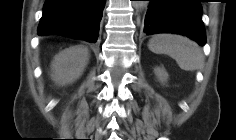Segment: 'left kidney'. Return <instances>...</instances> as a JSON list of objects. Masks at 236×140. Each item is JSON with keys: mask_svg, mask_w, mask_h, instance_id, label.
Instances as JSON below:
<instances>
[{"mask_svg": "<svg viewBox=\"0 0 236 140\" xmlns=\"http://www.w3.org/2000/svg\"><path fill=\"white\" fill-rule=\"evenodd\" d=\"M155 75L157 76L158 80L162 83H165L168 79V73L162 67H156L154 69Z\"/></svg>", "mask_w": 236, "mask_h": 140, "instance_id": "5707ae66", "label": "left kidney"}]
</instances>
